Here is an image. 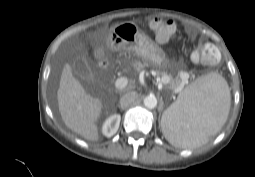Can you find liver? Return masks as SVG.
<instances>
[{
	"label": "liver",
	"mask_w": 255,
	"mask_h": 177,
	"mask_svg": "<svg viewBox=\"0 0 255 177\" xmlns=\"http://www.w3.org/2000/svg\"><path fill=\"white\" fill-rule=\"evenodd\" d=\"M57 100L61 117L70 130L90 141L99 139L96 122L102 113V100L86 93L73 77L69 64L62 70Z\"/></svg>",
	"instance_id": "liver-1"
}]
</instances>
